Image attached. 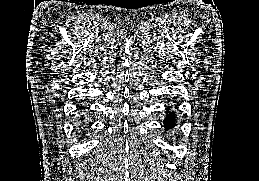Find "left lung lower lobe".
I'll return each mask as SVG.
<instances>
[{
  "label": "left lung lower lobe",
  "mask_w": 259,
  "mask_h": 181,
  "mask_svg": "<svg viewBox=\"0 0 259 181\" xmlns=\"http://www.w3.org/2000/svg\"><path fill=\"white\" fill-rule=\"evenodd\" d=\"M166 110H167L166 111L167 116L164 119L163 123H164L165 130H170L176 126V119H175L176 117H175V112L170 111V107H168Z\"/></svg>",
  "instance_id": "obj_1"
}]
</instances>
